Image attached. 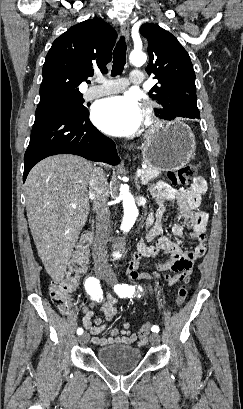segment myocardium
Segmentation results:
<instances>
[{
  "label": "myocardium",
  "instance_id": "1",
  "mask_svg": "<svg viewBox=\"0 0 243 409\" xmlns=\"http://www.w3.org/2000/svg\"><path fill=\"white\" fill-rule=\"evenodd\" d=\"M145 123H144V130L147 133H152L157 131L161 126V121L158 118L154 106L147 102L145 106Z\"/></svg>",
  "mask_w": 243,
  "mask_h": 409
}]
</instances>
